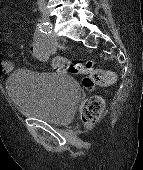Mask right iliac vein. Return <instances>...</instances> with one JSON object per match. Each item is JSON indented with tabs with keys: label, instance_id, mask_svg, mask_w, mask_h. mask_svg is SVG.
<instances>
[{
	"label": "right iliac vein",
	"instance_id": "63e3f726",
	"mask_svg": "<svg viewBox=\"0 0 143 170\" xmlns=\"http://www.w3.org/2000/svg\"><path fill=\"white\" fill-rule=\"evenodd\" d=\"M43 18H44V20L49 21L48 13H43Z\"/></svg>",
	"mask_w": 143,
	"mask_h": 170
}]
</instances>
